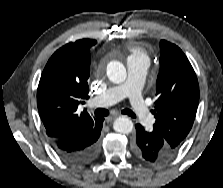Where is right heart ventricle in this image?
<instances>
[{"instance_id":"right-heart-ventricle-1","label":"right heart ventricle","mask_w":223,"mask_h":188,"mask_svg":"<svg viewBox=\"0 0 223 188\" xmlns=\"http://www.w3.org/2000/svg\"><path fill=\"white\" fill-rule=\"evenodd\" d=\"M137 54H141V55H144V56H145V54H144V53H142V52H139V53H137Z\"/></svg>"}]
</instances>
